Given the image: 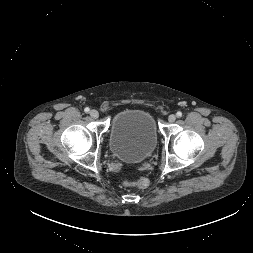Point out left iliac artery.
Here are the masks:
<instances>
[{
	"mask_svg": "<svg viewBox=\"0 0 253 253\" xmlns=\"http://www.w3.org/2000/svg\"><path fill=\"white\" fill-rule=\"evenodd\" d=\"M176 115H177V117H181V116H182V112L178 111V112L176 113Z\"/></svg>",
	"mask_w": 253,
	"mask_h": 253,
	"instance_id": "left-iliac-artery-1",
	"label": "left iliac artery"
}]
</instances>
